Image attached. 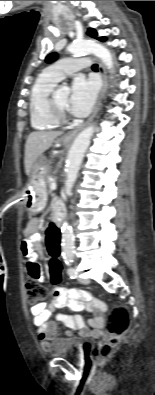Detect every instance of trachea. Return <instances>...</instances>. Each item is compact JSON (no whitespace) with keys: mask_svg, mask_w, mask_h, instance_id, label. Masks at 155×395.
<instances>
[{"mask_svg":"<svg viewBox=\"0 0 155 395\" xmlns=\"http://www.w3.org/2000/svg\"><path fill=\"white\" fill-rule=\"evenodd\" d=\"M92 69H93V70H97V69H98V65H97V64H94V65L92 66Z\"/></svg>","mask_w":155,"mask_h":395,"instance_id":"3493384b","label":"trachea"}]
</instances>
